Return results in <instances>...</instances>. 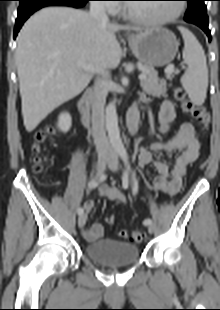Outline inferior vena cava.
Segmentation results:
<instances>
[{"label": "inferior vena cava", "instance_id": "1", "mask_svg": "<svg viewBox=\"0 0 220 310\" xmlns=\"http://www.w3.org/2000/svg\"><path fill=\"white\" fill-rule=\"evenodd\" d=\"M89 14L100 23L106 24L109 22L104 3L101 1H91ZM106 95L107 89L105 81L102 78H97L93 87L91 121L92 135L99 156L113 153V148L106 136L104 125V106L106 102Z\"/></svg>", "mask_w": 220, "mask_h": 310}]
</instances>
